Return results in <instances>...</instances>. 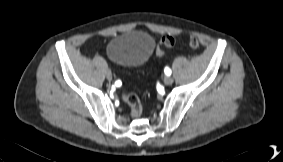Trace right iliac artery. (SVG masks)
<instances>
[{
	"instance_id": "right-iliac-artery-1",
	"label": "right iliac artery",
	"mask_w": 283,
	"mask_h": 162,
	"mask_svg": "<svg viewBox=\"0 0 283 162\" xmlns=\"http://www.w3.org/2000/svg\"><path fill=\"white\" fill-rule=\"evenodd\" d=\"M123 80L120 78L119 81L116 82L117 86H120Z\"/></svg>"
}]
</instances>
